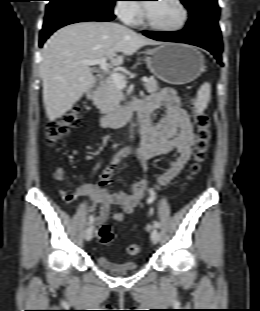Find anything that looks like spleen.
<instances>
[{"mask_svg":"<svg viewBox=\"0 0 260 311\" xmlns=\"http://www.w3.org/2000/svg\"><path fill=\"white\" fill-rule=\"evenodd\" d=\"M211 95V85L205 82L201 85L197 92V98L195 100L196 111L201 114L207 108Z\"/></svg>","mask_w":260,"mask_h":311,"instance_id":"3e777b00","label":"spleen"}]
</instances>
